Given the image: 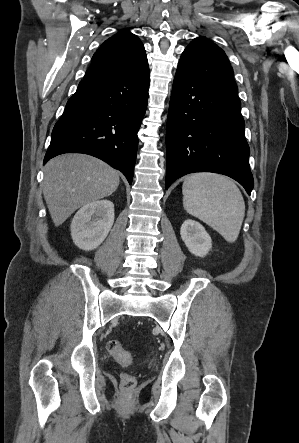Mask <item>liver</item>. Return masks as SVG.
<instances>
[{"label":"liver","mask_w":299,"mask_h":443,"mask_svg":"<svg viewBox=\"0 0 299 443\" xmlns=\"http://www.w3.org/2000/svg\"><path fill=\"white\" fill-rule=\"evenodd\" d=\"M118 172L85 154H63L44 168L43 194L55 226L78 208L111 195L119 185Z\"/></svg>","instance_id":"6515ba94"}]
</instances>
